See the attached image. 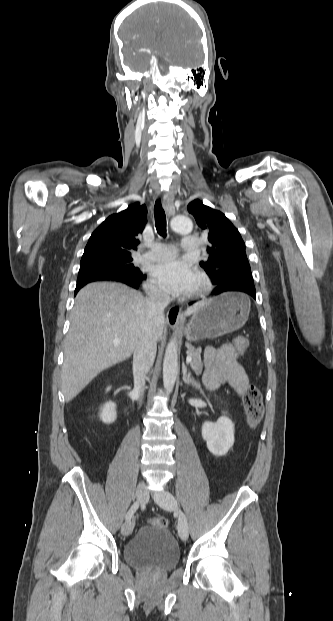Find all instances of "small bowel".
<instances>
[{
  "mask_svg": "<svg viewBox=\"0 0 333 621\" xmlns=\"http://www.w3.org/2000/svg\"><path fill=\"white\" fill-rule=\"evenodd\" d=\"M203 384L209 391L228 383L238 394H243L248 386V377L238 361L234 348L230 345L219 349L209 348L205 355Z\"/></svg>",
  "mask_w": 333,
  "mask_h": 621,
  "instance_id": "small-bowel-1",
  "label": "small bowel"
}]
</instances>
